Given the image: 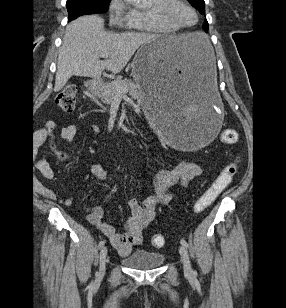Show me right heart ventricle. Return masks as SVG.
I'll return each mask as SVG.
<instances>
[{"label":"right heart ventricle","mask_w":286,"mask_h":308,"mask_svg":"<svg viewBox=\"0 0 286 308\" xmlns=\"http://www.w3.org/2000/svg\"><path fill=\"white\" fill-rule=\"evenodd\" d=\"M162 0H151L152 5L147 9L133 8L129 22V29L142 33L170 34L179 31V28L160 19L153 11V6Z\"/></svg>","instance_id":"1"}]
</instances>
